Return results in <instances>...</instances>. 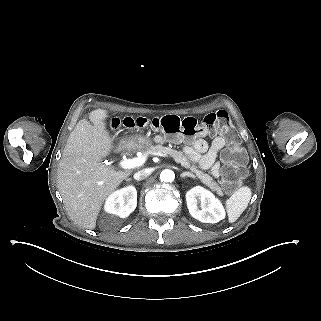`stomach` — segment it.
<instances>
[{"label": "stomach", "mask_w": 321, "mask_h": 321, "mask_svg": "<svg viewBox=\"0 0 321 321\" xmlns=\"http://www.w3.org/2000/svg\"><path fill=\"white\" fill-rule=\"evenodd\" d=\"M152 144L151 139L142 134H133L129 137H123L118 142V149H126V147L131 146L133 148H146Z\"/></svg>", "instance_id": "0dacf381"}]
</instances>
